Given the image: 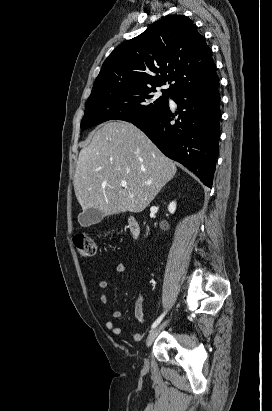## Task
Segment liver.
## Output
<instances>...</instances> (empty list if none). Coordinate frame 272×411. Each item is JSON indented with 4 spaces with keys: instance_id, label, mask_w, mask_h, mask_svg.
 <instances>
[{
    "instance_id": "liver-1",
    "label": "liver",
    "mask_w": 272,
    "mask_h": 411,
    "mask_svg": "<svg viewBox=\"0 0 272 411\" xmlns=\"http://www.w3.org/2000/svg\"><path fill=\"white\" fill-rule=\"evenodd\" d=\"M176 172V164L140 129L114 121L103 124L80 151L73 184L83 211L96 208L104 216L138 213Z\"/></svg>"
}]
</instances>
